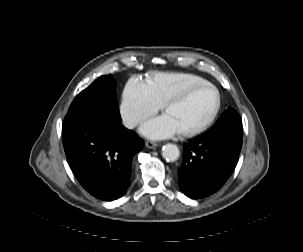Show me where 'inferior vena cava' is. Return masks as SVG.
Returning <instances> with one entry per match:
<instances>
[{
    "label": "inferior vena cava",
    "instance_id": "inferior-vena-cava-1",
    "mask_svg": "<svg viewBox=\"0 0 303 252\" xmlns=\"http://www.w3.org/2000/svg\"><path fill=\"white\" fill-rule=\"evenodd\" d=\"M123 124L126 128L132 129L138 124V121L136 119H133V118H124L123 119Z\"/></svg>",
    "mask_w": 303,
    "mask_h": 252
}]
</instances>
